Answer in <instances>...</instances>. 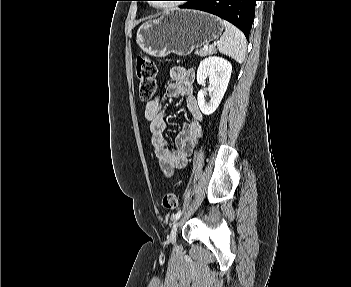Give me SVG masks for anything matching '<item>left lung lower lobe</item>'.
Wrapping results in <instances>:
<instances>
[{"mask_svg": "<svg viewBox=\"0 0 351 287\" xmlns=\"http://www.w3.org/2000/svg\"><path fill=\"white\" fill-rule=\"evenodd\" d=\"M180 8L196 9L217 15L242 30L246 38L255 16V4L258 0H185Z\"/></svg>", "mask_w": 351, "mask_h": 287, "instance_id": "left-lung-lower-lobe-1", "label": "left lung lower lobe"}]
</instances>
